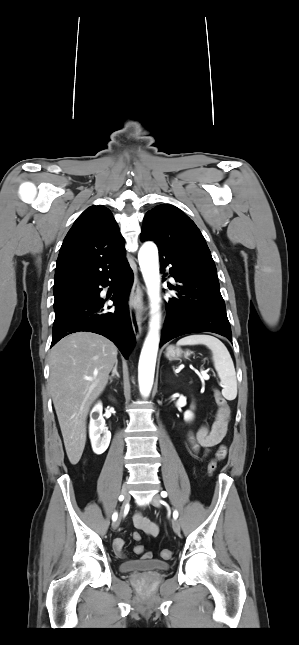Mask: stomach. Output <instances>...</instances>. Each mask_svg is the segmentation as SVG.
I'll return each mask as SVG.
<instances>
[{
  "label": "stomach",
  "instance_id": "stomach-1",
  "mask_svg": "<svg viewBox=\"0 0 299 645\" xmlns=\"http://www.w3.org/2000/svg\"><path fill=\"white\" fill-rule=\"evenodd\" d=\"M183 354V351L180 348H177L175 346H168L166 349V357L169 360H178ZM189 355V352L184 353V356L187 357Z\"/></svg>",
  "mask_w": 299,
  "mask_h": 645
}]
</instances>
